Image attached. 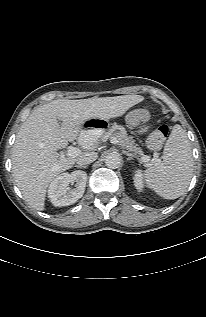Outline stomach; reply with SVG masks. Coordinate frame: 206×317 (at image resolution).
Instances as JSON below:
<instances>
[{"label":"stomach","mask_w":206,"mask_h":317,"mask_svg":"<svg viewBox=\"0 0 206 317\" xmlns=\"http://www.w3.org/2000/svg\"><path fill=\"white\" fill-rule=\"evenodd\" d=\"M126 118V116H125ZM124 118V128L128 132H135L138 128L132 129L126 125ZM116 123L110 117H101L97 120L89 119L84 122L83 129L77 132L76 140L80 146L88 147L96 144L99 140L107 138L114 130Z\"/></svg>","instance_id":"stomach-1"}]
</instances>
